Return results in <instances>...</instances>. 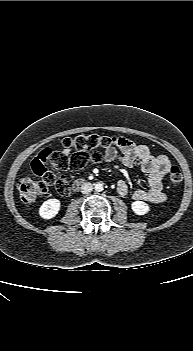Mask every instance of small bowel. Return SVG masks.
I'll return each instance as SVG.
<instances>
[{"label":"small bowel","mask_w":193,"mask_h":351,"mask_svg":"<svg viewBox=\"0 0 193 351\" xmlns=\"http://www.w3.org/2000/svg\"><path fill=\"white\" fill-rule=\"evenodd\" d=\"M116 146L105 150L104 160L112 162L119 160L124 166L131 167L139 164L148 176L149 188H137L132 193V198L153 204L163 203L166 199L163 191V178L167 174L170 160L166 155H153L148 146L136 144L124 137H114ZM120 150V155L118 154ZM70 149H64L67 155ZM117 191L120 195L129 194V186L124 180L117 182Z\"/></svg>","instance_id":"c3829d8e"}]
</instances>
